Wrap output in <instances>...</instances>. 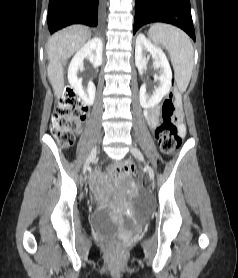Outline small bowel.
Returning <instances> with one entry per match:
<instances>
[{
	"instance_id": "1",
	"label": "small bowel",
	"mask_w": 238,
	"mask_h": 278,
	"mask_svg": "<svg viewBox=\"0 0 238 278\" xmlns=\"http://www.w3.org/2000/svg\"><path fill=\"white\" fill-rule=\"evenodd\" d=\"M159 114L160 112L157 107L145 111L146 119L151 128H155L157 126L159 120ZM180 132L181 133L183 132L182 125H180Z\"/></svg>"
}]
</instances>
